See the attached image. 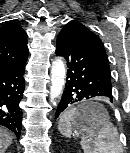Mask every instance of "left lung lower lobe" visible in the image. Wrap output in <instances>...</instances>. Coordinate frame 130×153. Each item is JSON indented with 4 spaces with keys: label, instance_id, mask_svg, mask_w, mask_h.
<instances>
[{
    "label": "left lung lower lobe",
    "instance_id": "obj_1",
    "mask_svg": "<svg viewBox=\"0 0 130 153\" xmlns=\"http://www.w3.org/2000/svg\"><path fill=\"white\" fill-rule=\"evenodd\" d=\"M56 54L67 61V82L56 111V118L70 104L92 97L112 102L108 58L85 38L67 32L57 37Z\"/></svg>",
    "mask_w": 130,
    "mask_h": 153
}]
</instances>
